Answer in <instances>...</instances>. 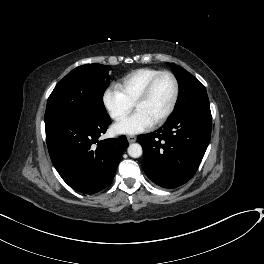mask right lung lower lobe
Returning <instances> with one entry per match:
<instances>
[{"instance_id": "1", "label": "right lung lower lobe", "mask_w": 264, "mask_h": 264, "mask_svg": "<svg viewBox=\"0 0 264 264\" xmlns=\"http://www.w3.org/2000/svg\"><path fill=\"white\" fill-rule=\"evenodd\" d=\"M110 117H74L45 123L50 158L62 179L73 189L93 194L114 178L126 137L98 141Z\"/></svg>"}]
</instances>
